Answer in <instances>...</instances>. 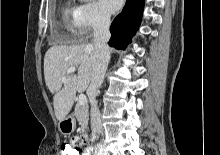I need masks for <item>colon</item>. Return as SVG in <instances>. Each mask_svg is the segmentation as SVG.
<instances>
[{"label":"colon","mask_w":220,"mask_h":155,"mask_svg":"<svg viewBox=\"0 0 220 155\" xmlns=\"http://www.w3.org/2000/svg\"><path fill=\"white\" fill-rule=\"evenodd\" d=\"M87 145H64L61 146L62 154L63 155H80L83 148Z\"/></svg>","instance_id":"colon-1"}]
</instances>
